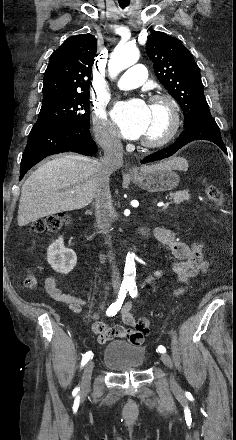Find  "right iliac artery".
Instances as JSON below:
<instances>
[{
  "instance_id": "obj_1",
  "label": "right iliac artery",
  "mask_w": 236,
  "mask_h": 440,
  "mask_svg": "<svg viewBox=\"0 0 236 440\" xmlns=\"http://www.w3.org/2000/svg\"><path fill=\"white\" fill-rule=\"evenodd\" d=\"M129 291V286H121L119 293H118V298L117 300L112 303L108 309L106 310V315L107 316H114L117 314V312L121 309L123 301L126 297L127 292ZM92 357V352L88 351L83 355L82 361H81V366H84L89 359ZM80 389L77 387L74 389V392L77 393Z\"/></svg>"
}]
</instances>
